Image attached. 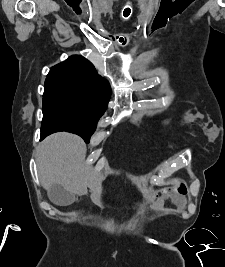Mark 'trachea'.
I'll use <instances>...</instances> for the list:
<instances>
[{
	"mask_svg": "<svg viewBox=\"0 0 225 267\" xmlns=\"http://www.w3.org/2000/svg\"><path fill=\"white\" fill-rule=\"evenodd\" d=\"M126 10H127V9H124V11H123V16H124V17H128V16H129V15L126 14Z\"/></svg>",
	"mask_w": 225,
	"mask_h": 267,
	"instance_id": "obj_1",
	"label": "trachea"
}]
</instances>
